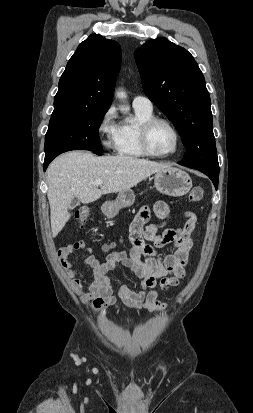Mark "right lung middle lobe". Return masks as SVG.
Segmentation results:
<instances>
[{
	"instance_id": "dd1d6c3e",
	"label": "right lung middle lobe",
	"mask_w": 253,
	"mask_h": 413,
	"mask_svg": "<svg viewBox=\"0 0 253 413\" xmlns=\"http://www.w3.org/2000/svg\"><path fill=\"white\" fill-rule=\"evenodd\" d=\"M107 110L51 116L45 136V160L70 150L103 151L98 129Z\"/></svg>"
}]
</instances>
